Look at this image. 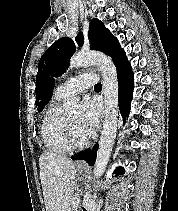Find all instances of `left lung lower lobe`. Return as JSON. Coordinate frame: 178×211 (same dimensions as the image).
<instances>
[{"mask_svg": "<svg viewBox=\"0 0 178 211\" xmlns=\"http://www.w3.org/2000/svg\"><path fill=\"white\" fill-rule=\"evenodd\" d=\"M118 83H119V108L124 118L128 117L130 111V103L133 98L134 74L127 57L124 54L116 63ZM125 121V120H124ZM98 145L92 150H86L74 155L73 160H85L89 165H94ZM116 175L124 173V169L119 167L115 170Z\"/></svg>", "mask_w": 178, "mask_h": 211, "instance_id": "0a47b994", "label": "left lung lower lobe"}]
</instances>
